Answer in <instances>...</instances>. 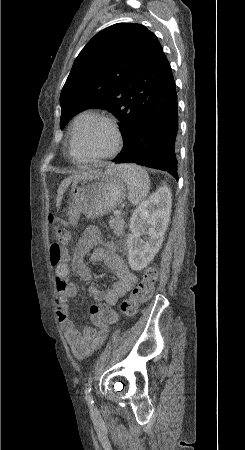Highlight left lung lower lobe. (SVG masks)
<instances>
[{
  "label": "left lung lower lobe",
  "instance_id": "0a47b994",
  "mask_svg": "<svg viewBox=\"0 0 245 450\" xmlns=\"http://www.w3.org/2000/svg\"><path fill=\"white\" fill-rule=\"evenodd\" d=\"M177 134V92L169 65L162 79L141 107L123 151L112 161L132 162L167 171L178 180Z\"/></svg>",
  "mask_w": 245,
  "mask_h": 450
}]
</instances>
